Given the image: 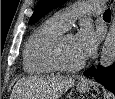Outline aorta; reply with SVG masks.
<instances>
[{"instance_id": "1", "label": "aorta", "mask_w": 115, "mask_h": 99, "mask_svg": "<svg viewBox=\"0 0 115 99\" xmlns=\"http://www.w3.org/2000/svg\"><path fill=\"white\" fill-rule=\"evenodd\" d=\"M115 62V17L106 36L100 57V65L108 67Z\"/></svg>"}]
</instances>
